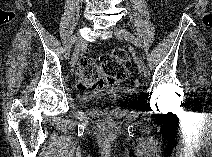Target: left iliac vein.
<instances>
[{
	"mask_svg": "<svg viewBox=\"0 0 212 157\" xmlns=\"http://www.w3.org/2000/svg\"><path fill=\"white\" fill-rule=\"evenodd\" d=\"M114 33H115V36L120 40H123V39L130 40L133 37V35L130 32L126 30L117 29V28L114 30ZM138 70L140 74L145 72L143 63L141 61L138 62Z\"/></svg>",
	"mask_w": 212,
	"mask_h": 157,
	"instance_id": "obj_1",
	"label": "left iliac vein"
}]
</instances>
